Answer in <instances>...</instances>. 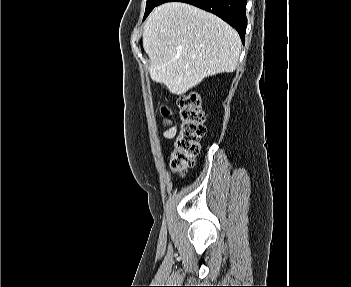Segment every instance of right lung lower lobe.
<instances>
[{"instance_id":"obj_1","label":"right lung lower lobe","mask_w":351,"mask_h":287,"mask_svg":"<svg viewBox=\"0 0 351 287\" xmlns=\"http://www.w3.org/2000/svg\"><path fill=\"white\" fill-rule=\"evenodd\" d=\"M172 1L188 3L215 14L233 26L244 43L247 27L245 15L247 0H160L157 6Z\"/></svg>"}]
</instances>
